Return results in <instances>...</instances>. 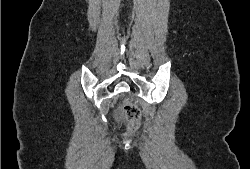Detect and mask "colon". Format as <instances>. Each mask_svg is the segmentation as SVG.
Listing matches in <instances>:
<instances>
[{"instance_id": "5ec220e1", "label": "colon", "mask_w": 250, "mask_h": 169, "mask_svg": "<svg viewBox=\"0 0 250 169\" xmlns=\"http://www.w3.org/2000/svg\"><path fill=\"white\" fill-rule=\"evenodd\" d=\"M121 102V111H123V115H125V120H130L128 122V126H126V130H123L124 138H128V135H134V131H139V127L143 126V123L140 122L142 120V115H140V110L135 108V104H137V99H131L126 96H120Z\"/></svg>"}]
</instances>
